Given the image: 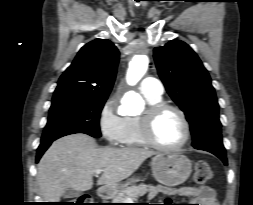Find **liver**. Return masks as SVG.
I'll return each instance as SVG.
<instances>
[{"label": "liver", "mask_w": 253, "mask_h": 205, "mask_svg": "<svg viewBox=\"0 0 253 205\" xmlns=\"http://www.w3.org/2000/svg\"><path fill=\"white\" fill-rule=\"evenodd\" d=\"M155 153L142 148H97L94 138L76 133L52 143L37 170L45 202H59L66 189L90 190L96 170H103L97 185L111 186L132 175Z\"/></svg>", "instance_id": "obj_1"}]
</instances>
